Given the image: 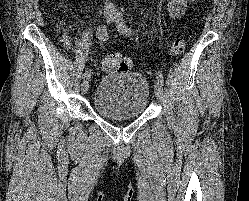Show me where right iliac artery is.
Returning <instances> with one entry per match:
<instances>
[{
  "label": "right iliac artery",
  "mask_w": 249,
  "mask_h": 201,
  "mask_svg": "<svg viewBox=\"0 0 249 201\" xmlns=\"http://www.w3.org/2000/svg\"><path fill=\"white\" fill-rule=\"evenodd\" d=\"M97 36H98V39L101 40V41H107L108 40V32H107V29L105 26H100L98 28V31H97ZM91 77V72L90 71H86L84 74H83V78L85 79H89Z\"/></svg>",
  "instance_id": "82829eb1"
}]
</instances>
